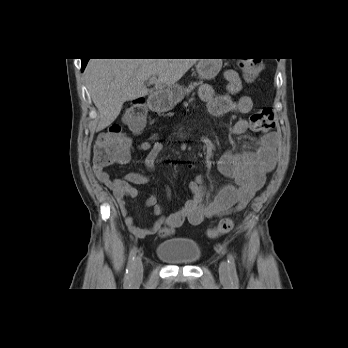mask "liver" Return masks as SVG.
Segmentation results:
<instances>
[{
    "mask_svg": "<svg viewBox=\"0 0 348 348\" xmlns=\"http://www.w3.org/2000/svg\"><path fill=\"white\" fill-rule=\"evenodd\" d=\"M199 59H90L84 71L99 112L97 130L112 124L124 102L161 92L177 83ZM155 77L154 89L145 82Z\"/></svg>",
    "mask_w": 348,
    "mask_h": 348,
    "instance_id": "obj_1",
    "label": "liver"
}]
</instances>
